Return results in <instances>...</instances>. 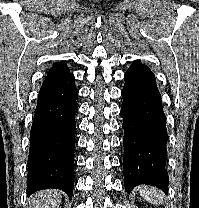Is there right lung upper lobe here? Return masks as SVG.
<instances>
[{"label": "right lung upper lobe", "instance_id": "right-lung-upper-lobe-1", "mask_svg": "<svg viewBox=\"0 0 199 208\" xmlns=\"http://www.w3.org/2000/svg\"><path fill=\"white\" fill-rule=\"evenodd\" d=\"M69 73V68L62 62L55 64L47 73V79H56Z\"/></svg>", "mask_w": 199, "mask_h": 208}]
</instances>
